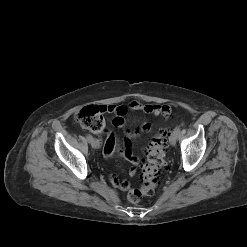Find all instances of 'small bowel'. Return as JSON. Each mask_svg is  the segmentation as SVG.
Masks as SVG:
<instances>
[{"instance_id": "obj_1", "label": "small bowel", "mask_w": 247, "mask_h": 247, "mask_svg": "<svg viewBox=\"0 0 247 247\" xmlns=\"http://www.w3.org/2000/svg\"><path fill=\"white\" fill-rule=\"evenodd\" d=\"M107 113H112L115 117L112 120V124L115 127H123L125 124L124 116L129 110L131 111H142L154 116H163L165 118L169 117L171 114V108L166 104H146L138 101H133L128 105H108L104 106ZM153 129V125L149 122L143 123L138 126L134 131L128 130L126 132L125 138V149L120 150L118 148V142L114 134L108 133L107 140L103 148V154L106 159H110L113 154L117 151L123 156L127 161L131 163L129 168V174L133 176L136 173V167L140 162V158L135 156L131 151L130 138L141 133L150 132ZM110 181L112 185L122 191H127L130 188V183L127 180H120L115 174L110 175Z\"/></svg>"}]
</instances>
